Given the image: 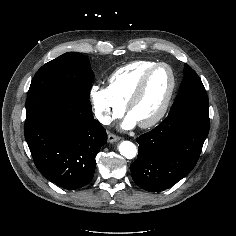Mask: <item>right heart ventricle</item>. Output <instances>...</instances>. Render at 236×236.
<instances>
[{"mask_svg": "<svg viewBox=\"0 0 236 236\" xmlns=\"http://www.w3.org/2000/svg\"><path fill=\"white\" fill-rule=\"evenodd\" d=\"M154 64L155 61L139 60L118 68L109 78L112 95L125 106L144 72Z\"/></svg>", "mask_w": 236, "mask_h": 236, "instance_id": "e07e8e85", "label": "right heart ventricle"}]
</instances>
